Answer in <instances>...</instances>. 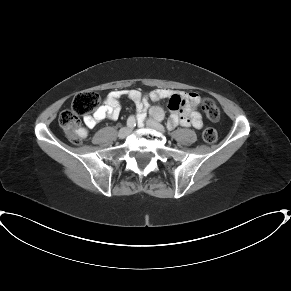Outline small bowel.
Masks as SVG:
<instances>
[{
  "mask_svg": "<svg viewBox=\"0 0 291 291\" xmlns=\"http://www.w3.org/2000/svg\"><path fill=\"white\" fill-rule=\"evenodd\" d=\"M124 96L134 102L137 117L140 122L146 116L150 101L168 100L169 104L175 103L177 106L175 109H171V114L167 122L169 129H173L179 124L191 126L195 129H201L203 127L202 117L197 111L201 98L195 92L180 94L167 89H156L148 94H142L135 89L115 90L108 94L107 98L93 115L84 118V126L80 127L79 135L82 138L86 137L89 130L96 127L105 118L116 120L120 114V100Z\"/></svg>",
  "mask_w": 291,
  "mask_h": 291,
  "instance_id": "c3829d8e",
  "label": "small bowel"
}]
</instances>
